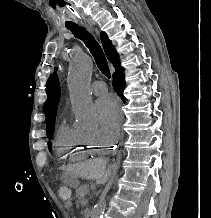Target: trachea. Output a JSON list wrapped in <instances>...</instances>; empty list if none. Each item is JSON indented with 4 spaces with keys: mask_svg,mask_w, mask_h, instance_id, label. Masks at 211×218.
<instances>
[{
    "mask_svg": "<svg viewBox=\"0 0 211 218\" xmlns=\"http://www.w3.org/2000/svg\"><path fill=\"white\" fill-rule=\"evenodd\" d=\"M66 28L73 33L74 37L82 40L85 46L92 53L96 65L101 73H103V75H105L107 78H110L111 74L108 67L107 59L101 46L93 37V35H91V33H89L86 28L81 27L80 25L67 26Z\"/></svg>",
    "mask_w": 211,
    "mask_h": 218,
    "instance_id": "1",
    "label": "trachea"
}]
</instances>
